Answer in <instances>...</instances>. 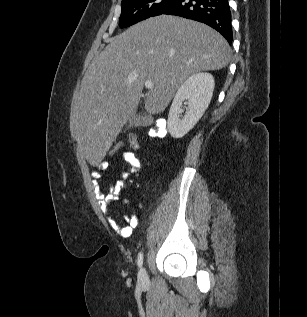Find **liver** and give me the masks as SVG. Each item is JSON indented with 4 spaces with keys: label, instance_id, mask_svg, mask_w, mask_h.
Instances as JSON below:
<instances>
[{
    "label": "liver",
    "instance_id": "liver-1",
    "mask_svg": "<svg viewBox=\"0 0 307 317\" xmlns=\"http://www.w3.org/2000/svg\"><path fill=\"white\" fill-rule=\"evenodd\" d=\"M231 49L211 27L181 17L161 15L111 38L89 65L74 95L71 117L79 147L98 165L122 127L135 113L145 81V109L158 114L190 76L225 68Z\"/></svg>",
    "mask_w": 307,
    "mask_h": 317
}]
</instances>
